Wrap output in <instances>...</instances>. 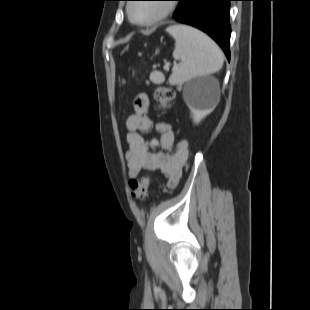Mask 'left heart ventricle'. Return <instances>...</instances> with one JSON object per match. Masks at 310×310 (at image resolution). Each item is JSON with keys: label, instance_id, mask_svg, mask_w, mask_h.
Returning a JSON list of instances; mask_svg holds the SVG:
<instances>
[{"label": "left heart ventricle", "instance_id": "left-heart-ventricle-1", "mask_svg": "<svg viewBox=\"0 0 310 310\" xmlns=\"http://www.w3.org/2000/svg\"><path fill=\"white\" fill-rule=\"evenodd\" d=\"M162 10V3H138L132 8L133 17L144 21L157 16Z\"/></svg>", "mask_w": 310, "mask_h": 310}]
</instances>
